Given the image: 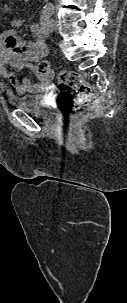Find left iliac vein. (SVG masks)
Masks as SVG:
<instances>
[{
	"label": "left iliac vein",
	"mask_w": 127,
	"mask_h": 303,
	"mask_svg": "<svg viewBox=\"0 0 127 303\" xmlns=\"http://www.w3.org/2000/svg\"><path fill=\"white\" fill-rule=\"evenodd\" d=\"M50 26H51V31H54L56 29V27H57V20L56 19H52Z\"/></svg>",
	"instance_id": "obj_1"
}]
</instances>
